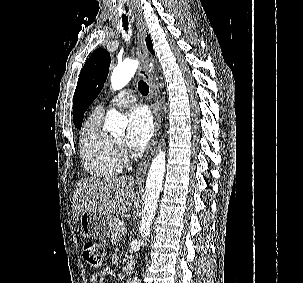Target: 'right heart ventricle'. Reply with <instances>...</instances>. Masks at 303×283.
Segmentation results:
<instances>
[{"label": "right heart ventricle", "instance_id": "1", "mask_svg": "<svg viewBox=\"0 0 303 283\" xmlns=\"http://www.w3.org/2000/svg\"><path fill=\"white\" fill-rule=\"evenodd\" d=\"M103 111L95 109L84 122L80 132V153L86 171L95 178L118 175L123 160L112 136L102 125Z\"/></svg>", "mask_w": 303, "mask_h": 283}]
</instances>
